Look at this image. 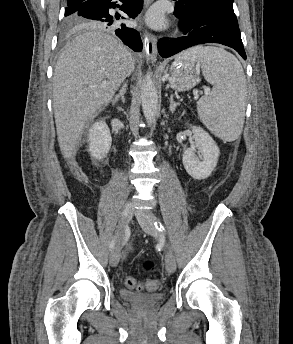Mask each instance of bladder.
<instances>
[{"mask_svg": "<svg viewBox=\"0 0 293 344\" xmlns=\"http://www.w3.org/2000/svg\"><path fill=\"white\" fill-rule=\"evenodd\" d=\"M120 296L126 302L145 307H154L160 304L164 299L162 293L145 294L124 288L120 290Z\"/></svg>", "mask_w": 293, "mask_h": 344, "instance_id": "1", "label": "bladder"}]
</instances>
